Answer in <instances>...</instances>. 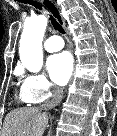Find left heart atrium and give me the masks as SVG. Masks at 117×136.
I'll list each match as a JSON object with an SVG mask.
<instances>
[{
	"mask_svg": "<svg viewBox=\"0 0 117 136\" xmlns=\"http://www.w3.org/2000/svg\"><path fill=\"white\" fill-rule=\"evenodd\" d=\"M48 71L57 85H65L73 70V59L70 53L64 51L52 55L47 61Z\"/></svg>",
	"mask_w": 117,
	"mask_h": 136,
	"instance_id": "left-heart-atrium-1",
	"label": "left heart atrium"
}]
</instances>
